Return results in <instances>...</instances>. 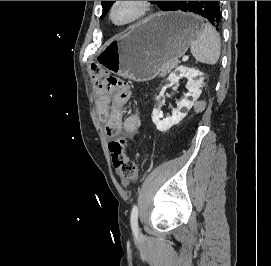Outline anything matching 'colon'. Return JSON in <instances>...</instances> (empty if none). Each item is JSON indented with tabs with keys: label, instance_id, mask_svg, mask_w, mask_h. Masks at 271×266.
<instances>
[{
	"label": "colon",
	"instance_id": "colon-1",
	"mask_svg": "<svg viewBox=\"0 0 271 266\" xmlns=\"http://www.w3.org/2000/svg\"><path fill=\"white\" fill-rule=\"evenodd\" d=\"M91 79L97 90L112 93L121 98L129 97L128 84L120 78L109 76L100 66L93 65L91 68ZM126 141L122 138L115 139L109 143L112 163L118 170L121 178L134 180L137 178L138 168L136 163L129 158L125 149Z\"/></svg>",
	"mask_w": 271,
	"mask_h": 266
}]
</instances>
